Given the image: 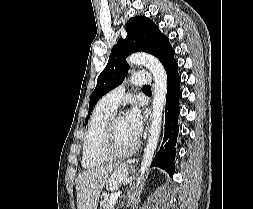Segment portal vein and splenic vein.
<instances>
[{"instance_id":"1","label":"portal vein and splenic vein","mask_w":253,"mask_h":209,"mask_svg":"<svg viewBox=\"0 0 253 209\" xmlns=\"http://www.w3.org/2000/svg\"><path fill=\"white\" fill-rule=\"evenodd\" d=\"M121 192H116L110 197V205H114L117 199L119 198Z\"/></svg>"}]
</instances>
